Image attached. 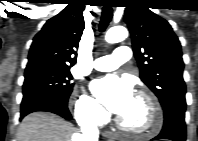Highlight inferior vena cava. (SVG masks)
<instances>
[{
    "instance_id": "602c4592",
    "label": "inferior vena cava",
    "mask_w": 198,
    "mask_h": 141,
    "mask_svg": "<svg viewBox=\"0 0 198 141\" xmlns=\"http://www.w3.org/2000/svg\"><path fill=\"white\" fill-rule=\"evenodd\" d=\"M82 135L80 139L82 141H98L99 132L96 125L92 123H85L81 126Z\"/></svg>"
}]
</instances>
